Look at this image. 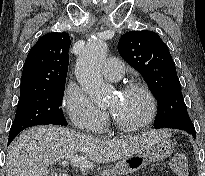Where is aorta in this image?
Instances as JSON below:
<instances>
[{
    "instance_id": "762f6f07",
    "label": "aorta",
    "mask_w": 205,
    "mask_h": 176,
    "mask_svg": "<svg viewBox=\"0 0 205 176\" xmlns=\"http://www.w3.org/2000/svg\"><path fill=\"white\" fill-rule=\"evenodd\" d=\"M107 50L106 42L90 41L79 55L75 66L77 81L96 103L104 102L111 93L101 75L102 63L106 58Z\"/></svg>"
}]
</instances>
